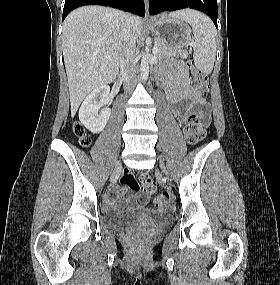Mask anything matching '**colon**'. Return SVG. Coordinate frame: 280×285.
Masks as SVG:
<instances>
[{
	"label": "colon",
	"mask_w": 280,
	"mask_h": 285,
	"mask_svg": "<svg viewBox=\"0 0 280 285\" xmlns=\"http://www.w3.org/2000/svg\"><path fill=\"white\" fill-rule=\"evenodd\" d=\"M191 72L192 81L198 92L206 97L209 92L208 76L203 71L195 68L191 63H188ZM208 121L199 118L196 114H189L185 120L184 133L189 143L197 144L204 139L206 135V127ZM74 132L79 137L80 144L83 147H88L91 143L84 128L80 124L74 126ZM121 182L130 186L134 190L142 189L146 193L155 190L156 185L152 178L148 175H143L139 180L130 172L125 171L121 176ZM169 202V195L166 193L158 194L154 197L153 203L156 206H165Z\"/></svg>",
	"instance_id": "colon-1"
}]
</instances>
